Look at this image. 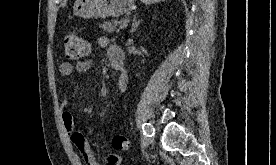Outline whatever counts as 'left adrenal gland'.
I'll use <instances>...</instances> for the list:
<instances>
[{"instance_id": "left-adrenal-gland-1", "label": "left adrenal gland", "mask_w": 276, "mask_h": 165, "mask_svg": "<svg viewBox=\"0 0 276 165\" xmlns=\"http://www.w3.org/2000/svg\"><path fill=\"white\" fill-rule=\"evenodd\" d=\"M139 24H140V20L137 21V15H134L133 19H132V27H131L130 32H134L137 29V27L139 26Z\"/></svg>"}]
</instances>
